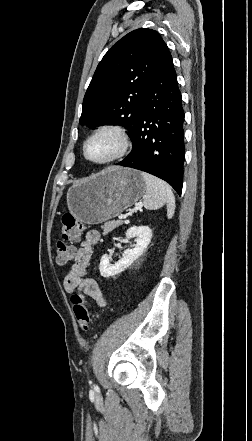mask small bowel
Returning <instances> with one entry per match:
<instances>
[{
  "label": "small bowel",
  "instance_id": "small-bowel-1",
  "mask_svg": "<svg viewBox=\"0 0 252 441\" xmlns=\"http://www.w3.org/2000/svg\"><path fill=\"white\" fill-rule=\"evenodd\" d=\"M99 239L100 234L96 230L86 233L84 241L75 252L73 265L64 278L63 286L68 293L79 291L83 298L84 296L90 297L98 306L103 307L106 302L97 281L86 277L93 248Z\"/></svg>",
  "mask_w": 252,
  "mask_h": 441
}]
</instances>
